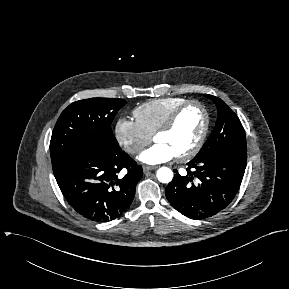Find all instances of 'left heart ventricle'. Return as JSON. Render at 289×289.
Listing matches in <instances>:
<instances>
[{
  "label": "left heart ventricle",
  "mask_w": 289,
  "mask_h": 289,
  "mask_svg": "<svg viewBox=\"0 0 289 289\" xmlns=\"http://www.w3.org/2000/svg\"><path fill=\"white\" fill-rule=\"evenodd\" d=\"M204 125V115L197 106H189L167 133L156 136L157 143L167 145L176 156L187 152L197 141Z\"/></svg>",
  "instance_id": "obj_1"
}]
</instances>
